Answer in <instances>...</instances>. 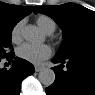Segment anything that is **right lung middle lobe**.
Masks as SVG:
<instances>
[{"label":"right lung middle lobe","instance_id":"right-lung-middle-lobe-1","mask_svg":"<svg viewBox=\"0 0 95 95\" xmlns=\"http://www.w3.org/2000/svg\"><path fill=\"white\" fill-rule=\"evenodd\" d=\"M17 21L12 19H0V59L9 56L5 49L11 47V32Z\"/></svg>","mask_w":95,"mask_h":95}]
</instances>
